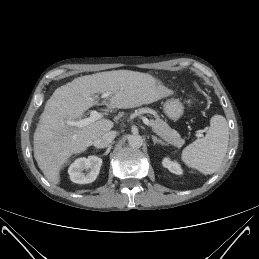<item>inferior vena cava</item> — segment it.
<instances>
[{
	"instance_id": "inferior-vena-cava-1",
	"label": "inferior vena cava",
	"mask_w": 259,
	"mask_h": 259,
	"mask_svg": "<svg viewBox=\"0 0 259 259\" xmlns=\"http://www.w3.org/2000/svg\"><path fill=\"white\" fill-rule=\"evenodd\" d=\"M115 137H116V132L114 131L106 132L99 138L95 139L93 141V145L97 148H105L109 146L110 143H112Z\"/></svg>"
}]
</instances>
